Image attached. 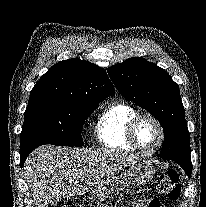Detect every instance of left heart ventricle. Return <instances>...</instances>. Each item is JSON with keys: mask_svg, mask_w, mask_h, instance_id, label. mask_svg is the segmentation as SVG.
I'll return each instance as SVG.
<instances>
[{"mask_svg": "<svg viewBox=\"0 0 206 207\" xmlns=\"http://www.w3.org/2000/svg\"><path fill=\"white\" fill-rule=\"evenodd\" d=\"M136 137L143 149L151 150L157 146L160 139V132L153 121L143 119L137 126Z\"/></svg>", "mask_w": 206, "mask_h": 207, "instance_id": "left-heart-ventricle-1", "label": "left heart ventricle"}]
</instances>
